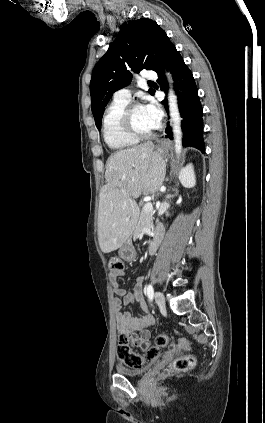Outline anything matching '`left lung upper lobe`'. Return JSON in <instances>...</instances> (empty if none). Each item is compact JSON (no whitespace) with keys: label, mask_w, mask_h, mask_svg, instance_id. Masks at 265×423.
<instances>
[{"label":"left lung upper lobe","mask_w":265,"mask_h":423,"mask_svg":"<svg viewBox=\"0 0 265 423\" xmlns=\"http://www.w3.org/2000/svg\"><path fill=\"white\" fill-rule=\"evenodd\" d=\"M169 43L165 31L147 18L129 21L120 27L116 39L94 67L90 82L91 107L99 130L112 94L128 85L133 73L142 69L157 71ZM149 92L153 94L154 90Z\"/></svg>","instance_id":"5c2ea615"}]
</instances>
